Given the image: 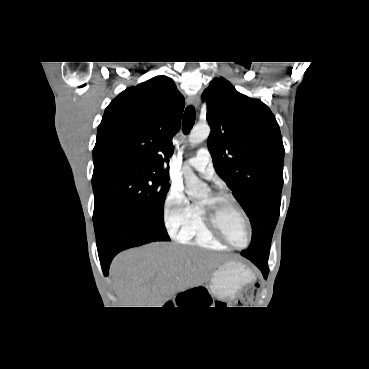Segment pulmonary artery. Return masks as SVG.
<instances>
[{"instance_id": "pulmonary-artery-1", "label": "pulmonary artery", "mask_w": 369, "mask_h": 369, "mask_svg": "<svg viewBox=\"0 0 369 369\" xmlns=\"http://www.w3.org/2000/svg\"><path fill=\"white\" fill-rule=\"evenodd\" d=\"M187 164L208 179L214 174L211 154L206 148L199 149L194 157L187 160Z\"/></svg>"}]
</instances>
